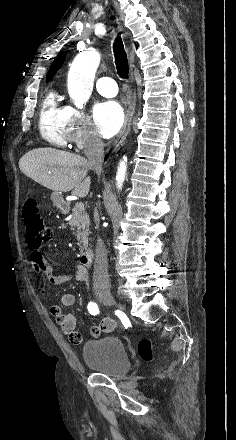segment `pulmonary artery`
Instances as JSON below:
<instances>
[{"label":"pulmonary artery","mask_w":236,"mask_h":440,"mask_svg":"<svg viewBox=\"0 0 236 440\" xmlns=\"http://www.w3.org/2000/svg\"><path fill=\"white\" fill-rule=\"evenodd\" d=\"M96 89L99 94L105 97H114L117 94V85L111 77H100L96 83Z\"/></svg>","instance_id":"pulmonary-artery-1"}]
</instances>
